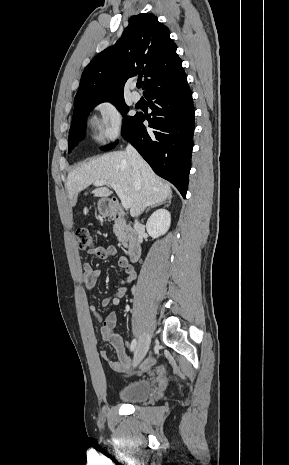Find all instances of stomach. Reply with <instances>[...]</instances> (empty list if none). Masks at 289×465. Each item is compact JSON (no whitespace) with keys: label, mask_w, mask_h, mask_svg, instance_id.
<instances>
[{"label":"stomach","mask_w":289,"mask_h":465,"mask_svg":"<svg viewBox=\"0 0 289 465\" xmlns=\"http://www.w3.org/2000/svg\"><path fill=\"white\" fill-rule=\"evenodd\" d=\"M98 211L101 215H106L110 212L108 199L103 198L98 201Z\"/></svg>","instance_id":"0dacf381"}]
</instances>
